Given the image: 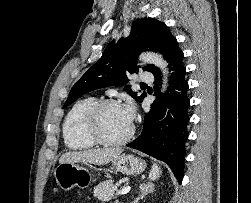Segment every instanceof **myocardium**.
<instances>
[{"mask_svg":"<svg viewBox=\"0 0 251 203\" xmlns=\"http://www.w3.org/2000/svg\"><path fill=\"white\" fill-rule=\"evenodd\" d=\"M110 106H120L114 99H103L94 103L86 113L84 120L85 133L96 143L105 146H118L127 143L134 135L135 127L131 124L129 132L119 139H109L101 131L100 119L103 111Z\"/></svg>","mask_w":251,"mask_h":203,"instance_id":"obj_1","label":"myocardium"}]
</instances>
